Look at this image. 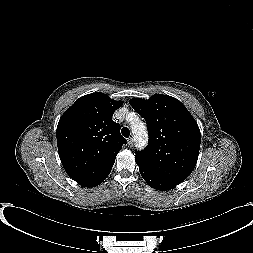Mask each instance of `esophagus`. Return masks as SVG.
Returning <instances> with one entry per match:
<instances>
[{"label":"esophagus","mask_w":253,"mask_h":253,"mask_svg":"<svg viewBox=\"0 0 253 253\" xmlns=\"http://www.w3.org/2000/svg\"><path fill=\"white\" fill-rule=\"evenodd\" d=\"M127 142H128V146H129V147H132V146H133V139H132V138H129V139L127 140Z\"/></svg>","instance_id":"obj_1"}]
</instances>
